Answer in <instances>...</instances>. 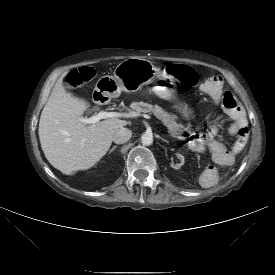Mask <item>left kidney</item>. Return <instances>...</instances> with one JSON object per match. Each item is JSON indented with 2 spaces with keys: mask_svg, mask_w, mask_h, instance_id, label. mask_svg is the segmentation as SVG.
I'll list each match as a JSON object with an SVG mask.
<instances>
[{
  "mask_svg": "<svg viewBox=\"0 0 275 275\" xmlns=\"http://www.w3.org/2000/svg\"><path fill=\"white\" fill-rule=\"evenodd\" d=\"M177 157L180 159V160H177L176 158H171L169 160V165L172 167V168H175V169H181L183 167V164H184V156H182L181 154H177Z\"/></svg>",
  "mask_w": 275,
  "mask_h": 275,
  "instance_id": "1",
  "label": "left kidney"
}]
</instances>
